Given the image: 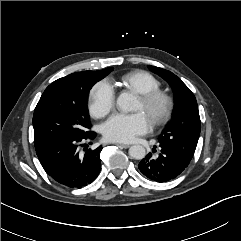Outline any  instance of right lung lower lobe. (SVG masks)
<instances>
[{"mask_svg": "<svg viewBox=\"0 0 241 241\" xmlns=\"http://www.w3.org/2000/svg\"><path fill=\"white\" fill-rule=\"evenodd\" d=\"M95 136L90 131L83 137L57 140L36 150V154L51 178L64 186L81 188L92 183L100 172L101 146L87 150L83 156L79 154L80 146Z\"/></svg>", "mask_w": 241, "mask_h": 241, "instance_id": "98d812e1", "label": "right lung lower lobe"}]
</instances>
